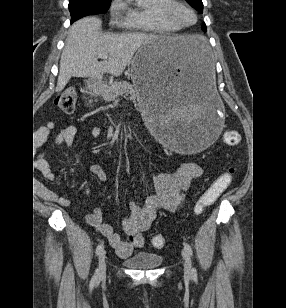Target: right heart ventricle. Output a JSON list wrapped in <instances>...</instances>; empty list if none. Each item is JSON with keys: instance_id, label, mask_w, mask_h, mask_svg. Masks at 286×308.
I'll return each mask as SVG.
<instances>
[{"instance_id": "e07e8e85", "label": "right heart ventricle", "mask_w": 286, "mask_h": 308, "mask_svg": "<svg viewBox=\"0 0 286 308\" xmlns=\"http://www.w3.org/2000/svg\"><path fill=\"white\" fill-rule=\"evenodd\" d=\"M169 0H149L146 7H132L128 12L127 25L130 29L153 34H171L181 30L177 24L161 14V8Z\"/></svg>"}]
</instances>
